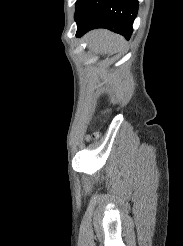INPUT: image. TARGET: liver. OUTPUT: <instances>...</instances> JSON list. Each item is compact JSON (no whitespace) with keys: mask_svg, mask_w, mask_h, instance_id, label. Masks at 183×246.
I'll return each instance as SVG.
<instances>
[{"mask_svg":"<svg viewBox=\"0 0 183 246\" xmlns=\"http://www.w3.org/2000/svg\"><path fill=\"white\" fill-rule=\"evenodd\" d=\"M85 39L88 42V47L101 55L111 52L124 41L119 35L104 29L89 32Z\"/></svg>","mask_w":183,"mask_h":246,"instance_id":"1","label":"liver"}]
</instances>
